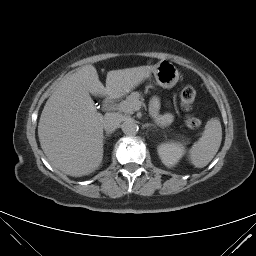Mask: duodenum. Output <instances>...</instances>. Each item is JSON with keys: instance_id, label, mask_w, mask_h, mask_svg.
<instances>
[{"instance_id": "410a0bca", "label": "duodenum", "mask_w": 256, "mask_h": 256, "mask_svg": "<svg viewBox=\"0 0 256 256\" xmlns=\"http://www.w3.org/2000/svg\"><path fill=\"white\" fill-rule=\"evenodd\" d=\"M115 97L111 96L104 101V108L106 111H110L113 108Z\"/></svg>"}]
</instances>
